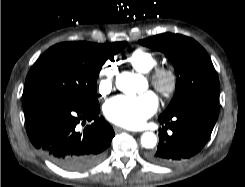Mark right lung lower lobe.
Wrapping results in <instances>:
<instances>
[{
  "instance_id": "right-lung-lower-lobe-1",
  "label": "right lung lower lobe",
  "mask_w": 245,
  "mask_h": 187,
  "mask_svg": "<svg viewBox=\"0 0 245 187\" xmlns=\"http://www.w3.org/2000/svg\"><path fill=\"white\" fill-rule=\"evenodd\" d=\"M99 107L65 100H44L24 107L27 134L50 161L68 171H83L104 157L115 133ZM92 121L83 131L80 124Z\"/></svg>"
}]
</instances>
